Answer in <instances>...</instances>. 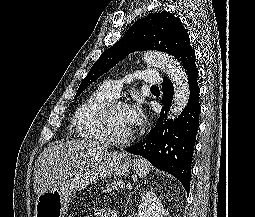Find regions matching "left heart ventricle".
Returning a JSON list of instances; mask_svg holds the SVG:
<instances>
[{
    "mask_svg": "<svg viewBox=\"0 0 255 217\" xmlns=\"http://www.w3.org/2000/svg\"><path fill=\"white\" fill-rule=\"evenodd\" d=\"M110 130L116 137H126L133 132L128 120L127 107H117L110 114Z\"/></svg>",
    "mask_w": 255,
    "mask_h": 217,
    "instance_id": "b2bd125f",
    "label": "left heart ventricle"
}]
</instances>
